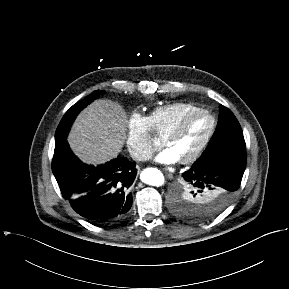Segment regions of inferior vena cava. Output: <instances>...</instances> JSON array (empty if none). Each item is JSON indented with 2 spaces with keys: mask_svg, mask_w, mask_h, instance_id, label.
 Returning <instances> with one entry per match:
<instances>
[{
  "mask_svg": "<svg viewBox=\"0 0 289 289\" xmlns=\"http://www.w3.org/2000/svg\"><path fill=\"white\" fill-rule=\"evenodd\" d=\"M152 157V154L150 152H146L143 150L134 151L132 154V158L138 161H146L149 160Z\"/></svg>",
  "mask_w": 289,
  "mask_h": 289,
  "instance_id": "obj_1",
  "label": "inferior vena cava"
}]
</instances>
